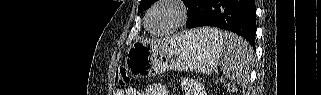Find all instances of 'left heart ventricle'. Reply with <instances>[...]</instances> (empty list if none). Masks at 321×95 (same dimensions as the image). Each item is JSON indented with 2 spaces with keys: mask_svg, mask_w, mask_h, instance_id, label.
<instances>
[{
  "mask_svg": "<svg viewBox=\"0 0 321 95\" xmlns=\"http://www.w3.org/2000/svg\"><path fill=\"white\" fill-rule=\"evenodd\" d=\"M177 12L171 5H163L157 8L151 15L149 26L156 31L170 27L176 20Z\"/></svg>",
  "mask_w": 321,
  "mask_h": 95,
  "instance_id": "b2bd125f",
  "label": "left heart ventricle"
}]
</instances>
